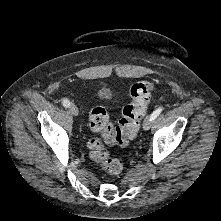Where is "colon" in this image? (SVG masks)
<instances>
[{
  "instance_id": "colon-1",
  "label": "colon",
  "mask_w": 221,
  "mask_h": 221,
  "mask_svg": "<svg viewBox=\"0 0 221 221\" xmlns=\"http://www.w3.org/2000/svg\"><path fill=\"white\" fill-rule=\"evenodd\" d=\"M153 89L154 84L150 81L134 84L130 91L131 102L124 107L116 126L103 107L96 106L90 111L89 126L101 135V139L94 138L88 142L89 155L109 176L121 174L123 164L119 159L110 157L106 145L126 146L136 137Z\"/></svg>"
}]
</instances>
